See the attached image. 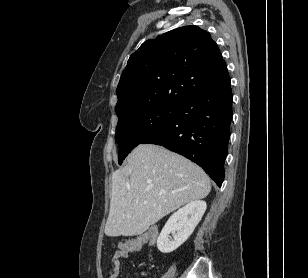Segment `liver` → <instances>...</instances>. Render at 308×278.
Returning <instances> with one entry per match:
<instances>
[{
  "mask_svg": "<svg viewBox=\"0 0 308 278\" xmlns=\"http://www.w3.org/2000/svg\"><path fill=\"white\" fill-rule=\"evenodd\" d=\"M210 179L195 163L162 146L138 145L126 165L112 174V194L105 234L144 233L179 207L205 198Z\"/></svg>",
  "mask_w": 308,
  "mask_h": 278,
  "instance_id": "liver-1",
  "label": "liver"
}]
</instances>
